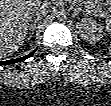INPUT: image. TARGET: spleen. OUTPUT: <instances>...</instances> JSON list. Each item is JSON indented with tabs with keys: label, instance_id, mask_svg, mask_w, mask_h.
Returning <instances> with one entry per match:
<instances>
[{
	"label": "spleen",
	"instance_id": "3e777b00",
	"mask_svg": "<svg viewBox=\"0 0 111 106\" xmlns=\"http://www.w3.org/2000/svg\"><path fill=\"white\" fill-rule=\"evenodd\" d=\"M106 31L111 34V20L107 22ZM111 51V50H110Z\"/></svg>",
	"mask_w": 111,
	"mask_h": 106
}]
</instances>
